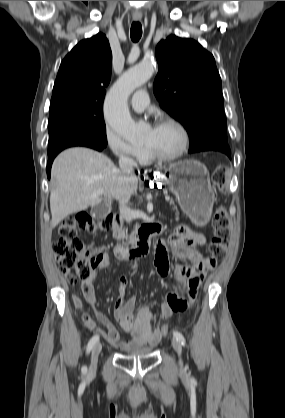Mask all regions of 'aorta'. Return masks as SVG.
I'll return each mask as SVG.
<instances>
[{
  "instance_id": "762f6f07",
  "label": "aorta",
  "mask_w": 285,
  "mask_h": 418,
  "mask_svg": "<svg viewBox=\"0 0 285 418\" xmlns=\"http://www.w3.org/2000/svg\"><path fill=\"white\" fill-rule=\"evenodd\" d=\"M155 62L145 59L126 70L109 90L105 103V119L108 125L130 143L140 141L144 128L132 119L128 97L152 76Z\"/></svg>"
}]
</instances>
